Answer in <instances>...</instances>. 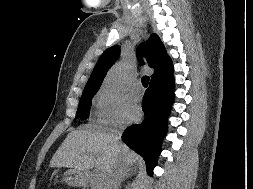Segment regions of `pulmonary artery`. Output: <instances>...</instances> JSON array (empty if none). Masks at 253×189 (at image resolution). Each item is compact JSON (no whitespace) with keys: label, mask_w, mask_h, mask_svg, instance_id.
Listing matches in <instances>:
<instances>
[{"label":"pulmonary artery","mask_w":253,"mask_h":189,"mask_svg":"<svg viewBox=\"0 0 253 189\" xmlns=\"http://www.w3.org/2000/svg\"><path fill=\"white\" fill-rule=\"evenodd\" d=\"M133 86H134V88H135L136 90H140V89H141V84H140V82H135V83L133 84Z\"/></svg>","instance_id":"1"}]
</instances>
